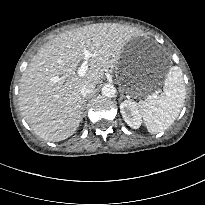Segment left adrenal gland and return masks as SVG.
Returning <instances> with one entry per match:
<instances>
[{"label": "left adrenal gland", "instance_id": "left-adrenal-gland-1", "mask_svg": "<svg viewBox=\"0 0 205 205\" xmlns=\"http://www.w3.org/2000/svg\"><path fill=\"white\" fill-rule=\"evenodd\" d=\"M123 98H125V95L121 92L119 100H122Z\"/></svg>", "mask_w": 205, "mask_h": 205}]
</instances>
